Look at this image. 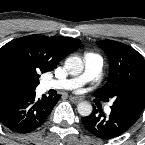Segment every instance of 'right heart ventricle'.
<instances>
[{"mask_svg":"<svg viewBox=\"0 0 145 145\" xmlns=\"http://www.w3.org/2000/svg\"><path fill=\"white\" fill-rule=\"evenodd\" d=\"M86 54H91V52H88V53H86ZM94 54V53H93Z\"/></svg>","mask_w":145,"mask_h":145,"instance_id":"e07e8e85","label":"right heart ventricle"}]
</instances>
